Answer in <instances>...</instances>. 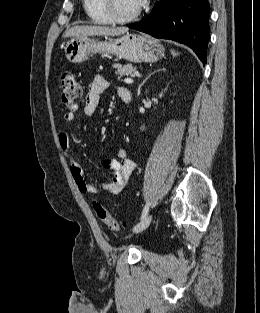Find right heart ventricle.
<instances>
[{
	"label": "right heart ventricle",
	"instance_id": "right-heart-ventricle-1",
	"mask_svg": "<svg viewBox=\"0 0 260 313\" xmlns=\"http://www.w3.org/2000/svg\"><path fill=\"white\" fill-rule=\"evenodd\" d=\"M82 4L87 16L93 23L101 25L111 23L102 7V0H82Z\"/></svg>",
	"mask_w": 260,
	"mask_h": 313
}]
</instances>
